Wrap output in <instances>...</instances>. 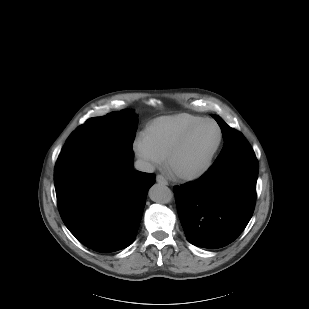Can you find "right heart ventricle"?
<instances>
[{
	"instance_id": "1",
	"label": "right heart ventricle",
	"mask_w": 309,
	"mask_h": 309,
	"mask_svg": "<svg viewBox=\"0 0 309 309\" xmlns=\"http://www.w3.org/2000/svg\"><path fill=\"white\" fill-rule=\"evenodd\" d=\"M202 119L185 113L160 117L148 124L142 137L161 159H165L180 136Z\"/></svg>"
}]
</instances>
